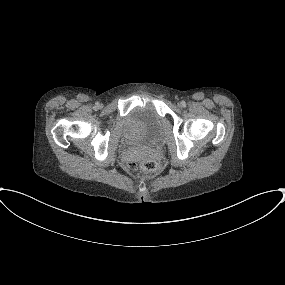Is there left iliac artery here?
<instances>
[{"label": "left iliac artery", "instance_id": "left-iliac-artery-1", "mask_svg": "<svg viewBox=\"0 0 285 285\" xmlns=\"http://www.w3.org/2000/svg\"><path fill=\"white\" fill-rule=\"evenodd\" d=\"M181 105H182V107H185V106H186V102H185V101H182V102H181Z\"/></svg>", "mask_w": 285, "mask_h": 285}]
</instances>
